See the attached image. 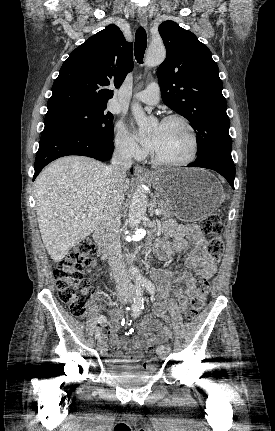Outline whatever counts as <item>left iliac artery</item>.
I'll use <instances>...</instances> for the list:
<instances>
[{"label": "left iliac artery", "mask_w": 275, "mask_h": 431, "mask_svg": "<svg viewBox=\"0 0 275 431\" xmlns=\"http://www.w3.org/2000/svg\"><path fill=\"white\" fill-rule=\"evenodd\" d=\"M143 286L146 288V290L150 293V294H155V286L154 284L150 281V280H144L143 281ZM166 346L165 345H161L158 346L156 349L157 354H161L164 350H165Z\"/></svg>", "instance_id": "obj_1"}]
</instances>
